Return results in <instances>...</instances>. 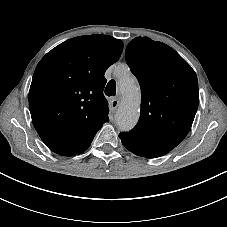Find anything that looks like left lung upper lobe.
<instances>
[{"instance_id": "obj_1", "label": "left lung upper lobe", "mask_w": 227, "mask_h": 227, "mask_svg": "<svg viewBox=\"0 0 227 227\" xmlns=\"http://www.w3.org/2000/svg\"><path fill=\"white\" fill-rule=\"evenodd\" d=\"M125 58L140 84L141 114L137 125L119 137L164 155L191 129L199 105L196 73L174 49L148 37L133 39Z\"/></svg>"}]
</instances>
